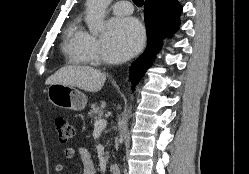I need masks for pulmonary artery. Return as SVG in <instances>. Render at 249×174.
<instances>
[{
  "instance_id": "obj_1",
  "label": "pulmonary artery",
  "mask_w": 249,
  "mask_h": 174,
  "mask_svg": "<svg viewBox=\"0 0 249 174\" xmlns=\"http://www.w3.org/2000/svg\"><path fill=\"white\" fill-rule=\"evenodd\" d=\"M112 9H113L115 14L127 15V14L132 13L133 6L128 1H118L112 5Z\"/></svg>"
}]
</instances>
